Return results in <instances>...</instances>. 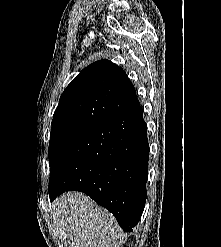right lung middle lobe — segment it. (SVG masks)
Masks as SVG:
<instances>
[{
  "mask_svg": "<svg viewBox=\"0 0 221 247\" xmlns=\"http://www.w3.org/2000/svg\"><path fill=\"white\" fill-rule=\"evenodd\" d=\"M87 129L86 126H65L51 130L48 151L50 171L65 148Z\"/></svg>",
  "mask_w": 221,
  "mask_h": 247,
  "instance_id": "1",
  "label": "right lung middle lobe"
}]
</instances>
